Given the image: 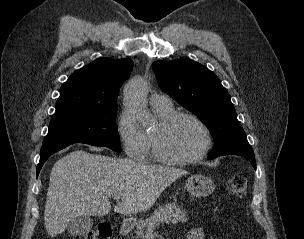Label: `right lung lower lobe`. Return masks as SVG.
Listing matches in <instances>:
<instances>
[{
  "instance_id": "98d812e1",
  "label": "right lung lower lobe",
  "mask_w": 304,
  "mask_h": 239,
  "mask_svg": "<svg viewBox=\"0 0 304 239\" xmlns=\"http://www.w3.org/2000/svg\"><path fill=\"white\" fill-rule=\"evenodd\" d=\"M71 144H62V145H52V146H46V147H41L40 151V161L37 166V175L40 172V169L42 168L43 164L45 161L54 153L57 151L69 146Z\"/></svg>"
}]
</instances>
